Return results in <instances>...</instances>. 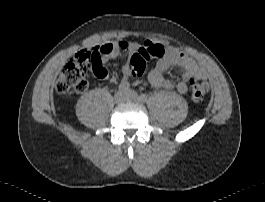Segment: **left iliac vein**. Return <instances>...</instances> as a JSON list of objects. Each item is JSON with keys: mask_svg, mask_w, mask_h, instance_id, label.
<instances>
[{"mask_svg": "<svg viewBox=\"0 0 265 202\" xmlns=\"http://www.w3.org/2000/svg\"><path fill=\"white\" fill-rule=\"evenodd\" d=\"M127 95V101L128 102H133V103H137V104H142V101L140 99V97L138 96V94L133 91V90H128L126 92Z\"/></svg>", "mask_w": 265, "mask_h": 202, "instance_id": "4c4485c4", "label": "left iliac vein"}]
</instances>
